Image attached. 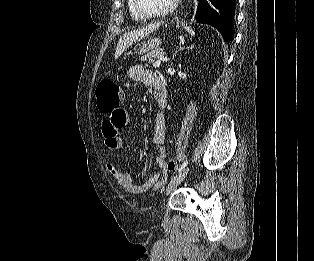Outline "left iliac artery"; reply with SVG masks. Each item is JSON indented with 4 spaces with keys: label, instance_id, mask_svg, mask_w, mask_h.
Wrapping results in <instances>:
<instances>
[{
    "label": "left iliac artery",
    "instance_id": "44dca946",
    "mask_svg": "<svg viewBox=\"0 0 314 261\" xmlns=\"http://www.w3.org/2000/svg\"><path fill=\"white\" fill-rule=\"evenodd\" d=\"M187 164H188V160L186 159L183 163H182V165L180 166V168H179V172L180 171H182L186 166H187Z\"/></svg>",
    "mask_w": 314,
    "mask_h": 261
}]
</instances>
